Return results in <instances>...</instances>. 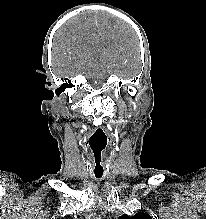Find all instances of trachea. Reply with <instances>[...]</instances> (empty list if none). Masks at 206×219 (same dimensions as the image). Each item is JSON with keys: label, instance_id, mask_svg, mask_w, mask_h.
<instances>
[{"label": "trachea", "instance_id": "3493384b", "mask_svg": "<svg viewBox=\"0 0 206 219\" xmlns=\"http://www.w3.org/2000/svg\"><path fill=\"white\" fill-rule=\"evenodd\" d=\"M96 178H101V175H96Z\"/></svg>", "mask_w": 206, "mask_h": 219}]
</instances>
